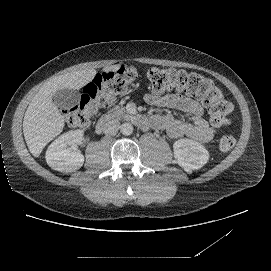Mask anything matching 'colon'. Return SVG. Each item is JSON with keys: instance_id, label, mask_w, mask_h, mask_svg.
Segmentation results:
<instances>
[{"instance_id": "1", "label": "colon", "mask_w": 271, "mask_h": 271, "mask_svg": "<svg viewBox=\"0 0 271 271\" xmlns=\"http://www.w3.org/2000/svg\"><path fill=\"white\" fill-rule=\"evenodd\" d=\"M147 76L154 94L177 91L199 97L209 109V124L214 130L230 123L233 105L212 79L198 72L162 67L151 68ZM137 77V69L132 65H122L115 71L96 75L86 86L80 102L65 111L66 122L74 127H88L94 116L115 96L129 92L136 85ZM235 143L233 135H224L219 141V149L228 152Z\"/></svg>"}]
</instances>
